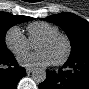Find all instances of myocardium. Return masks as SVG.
I'll return each instance as SVG.
<instances>
[{
	"label": "myocardium",
	"mask_w": 89,
	"mask_h": 89,
	"mask_svg": "<svg viewBox=\"0 0 89 89\" xmlns=\"http://www.w3.org/2000/svg\"><path fill=\"white\" fill-rule=\"evenodd\" d=\"M56 38H62L66 43V51H65L64 55L60 59L52 62L53 65L60 66V65L65 64L68 61V59L70 58L71 53H72V43H71L70 38L66 34L61 33L59 31L55 32V33H51V34L41 37L36 43L49 42Z\"/></svg>",
	"instance_id": "1"
}]
</instances>
